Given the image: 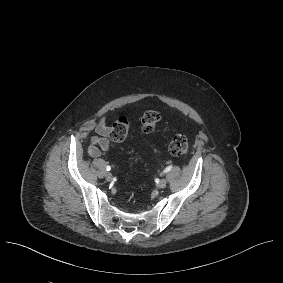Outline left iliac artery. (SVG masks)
I'll use <instances>...</instances> for the list:
<instances>
[{
  "label": "left iliac artery",
  "mask_w": 283,
  "mask_h": 283,
  "mask_svg": "<svg viewBox=\"0 0 283 283\" xmlns=\"http://www.w3.org/2000/svg\"><path fill=\"white\" fill-rule=\"evenodd\" d=\"M172 169V165H169L168 167L165 168L164 173L169 172Z\"/></svg>",
  "instance_id": "44dca946"
}]
</instances>
